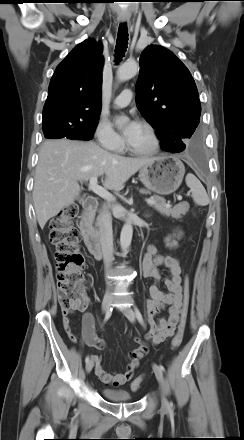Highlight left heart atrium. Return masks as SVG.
<instances>
[{
  "label": "left heart atrium",
  "instance_id": "39dd6f15",
  "mask_svg": "<svg viewBox=\"0 0 244 440\" xmlns=\"http://www.w3.org/2000/svg\"><path fill=\"white\" fill-rule=\"evenodd\" d=\"M140 125L136 121H130L128 122L125 130H124V136L125 139L129 142L138 132Z\"/></svg>",
  "mask_w": 244,
  "mask_h": 440
}]
</instances>
